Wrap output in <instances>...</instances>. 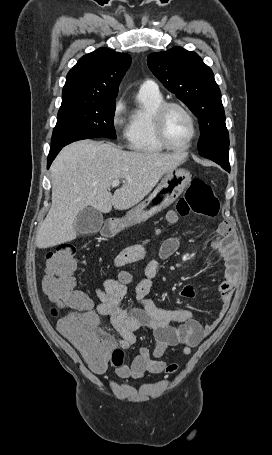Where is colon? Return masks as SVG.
Returning a JSON list of instances; mask_svg holds the SVG:
<instances>
[{"instance_id": "colon-1", "label": "colon", "mask_w": 272, "mask_h": 455, "mask_svg": "<svg viewBox=\"0 0 272 455\" xmlns=\"http://www.w3.org/2000/svg\"><path fill=\"white\" fill-rule=\"evenodd\" d=\"M219 201L210 185L201 178H194L176 210L167 215V222L173 224L180 217L192 214L215 217L219 212ZM158 230L155 234H159ZM77 268L76 248L62 244L46 257L45 276L42 286L46 295L56 304L52 310L59 317L58 328L79 350L94 371H103L109 364L123 363L122 351L114 340L100 334L96 329L97 318L91 312V300L77 289L73 274ZM124 281L131 280L128 271H121Z\"/></svg>"}]
</instances>
